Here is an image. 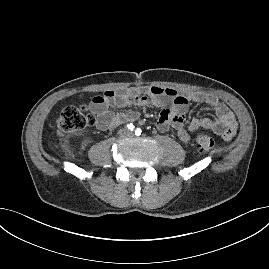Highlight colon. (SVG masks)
I'll use <instances>...</instances> for the list:
<instances>
[{
    "instance_id": "colon-1",
    "label": "colon",
    "mask_w": 269,
    "mask_h": 269,
    "mask_svg": "<svg viewBox=\"0 0 269 269\" xmlns=\"http://www.w3.org/2000/svg\"><path fill=\"white\" fill-rule=\"evenodd\" d=\"M96 115L85 106H67L56 119V132L58 137L67 138L73 133L94 125ZM197 148L204 153L214 150L215 142L206 133H198L195 138Z\"/></svg>"
}]
</instances>
